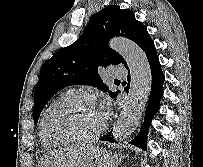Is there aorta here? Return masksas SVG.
Here are the masks:
<instances>
[{
    "label": "aorta",
    "mask_w": 203,
    "mask_h": 167,
    "mask_svg": "<svg viewBox=\"0 0 203 167\" xmlns=\"http://www.w3.org/2000/svg\"><path fill=\"white\" fill-rule=\"evenodd\" d=\"M109 45L127 62L131 81L127 100L113 130L117 141L127 139L137 127L151 90V68L144 51L133 41L117 37Z\"/></svg>",
    "instance_id": "aorta-1"
}]
</instances>
